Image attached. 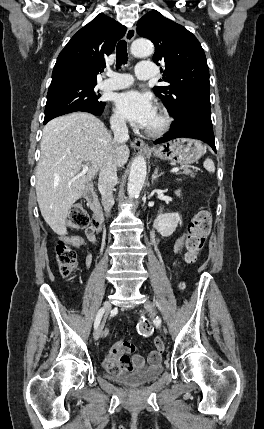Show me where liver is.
Wrapping results in <instances>:
<instances>
[{"mask_svg":"<svg viewBox=\"0 0 264 429\" xmlns=\"http://www.w3.org/2000/svg\"><path fill=\"white\" fill-rule=\"evenodd\" d=\"M36 168V195L41 214L58 235L66 233V218L108 159L122 167L129 158L125 144L115 145L103 122L91 114L72 113L46 124ZM89 165L82 170V163Z\"/></svg>","mask_w":264,"mask_h":429,"instance_id":"6515ba94","label":"liver"}]
</instances>
